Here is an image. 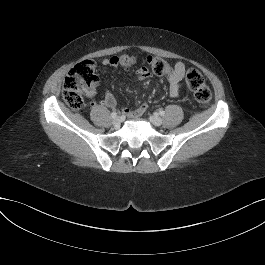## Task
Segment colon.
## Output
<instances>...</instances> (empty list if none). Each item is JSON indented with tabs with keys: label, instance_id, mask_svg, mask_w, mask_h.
Here are the masks:
<instances>
[{
	"label": "colon",
	"instance_id": "colon-1",
	"mask_svg": "<svg viewBox=\"0 0 265 265\" xmlns=\"http://www.w3.org/2000/svg\"><path fill=\"white\" fill-rule=\"evenodd\" d=\"M112 61L123 69H130L136 62V58L129 53L112 57ZM147 65L158 76H166L171 73L167 61L156 56H148ZM98 82L96 65L91 60L77 63L67 74L63 83L62 96L66 104L72 109L78 110L83 106V92L94 87ZM186 83L193 92L195 100L207 107L211 101V91L206 85L203 75L196 69H190L186 75Z\"/></svg>",
	"mask_w": 265,
	"mask_h": 265
}]
</instances>
